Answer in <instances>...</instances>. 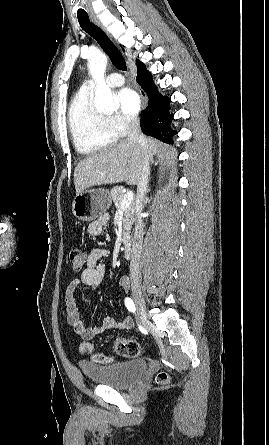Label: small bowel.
<instances>
[{
	"instance_id": "obj_1",
	"label": "small bowel",
	"mask_w": 269,
	"mask_h": 445,
	"mask_svg": "<svg viewBox=\"0 0 269 445\" xmlns=\"http://www.w3.org/2000/svg\"><path fill=\"white\" fill-rule=\"evenodd\" d=\"M108 218L102 216L97 221L89 225L88 231L92 236H99L102 233L104 225ZM109 256L106 249H94L86 257V265L81 276L73 279L65 290V310L67 323L72 326L74 331L84 340H91L110 329H130L133 326V320L129 316H125L121 321H117L113 317H105L101 325L88 328L80 317L75 299V292L80 287L88 289H97L105 276V264L103 260ZM118 285L124 290H129L130 282L127 276H121L118 279Z\"/></svg>"
}]
</instances>
